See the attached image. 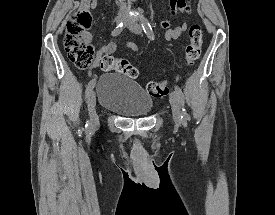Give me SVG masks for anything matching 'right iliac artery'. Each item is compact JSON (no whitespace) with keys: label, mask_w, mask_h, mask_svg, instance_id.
Masks as SVG:
<instances>
[{"label":"right iliac artery","mask_w":275,"mask_h":215,"mask_svg":"<svg viewBox=\"0 0 275 215\" xmlns=\"http://www.w3.org/2000/svg\"><path fill=\"white\" fill-rule=\"evenodd\" d=\"M124 28H125V23H124V22L119 23V24L116 26V28L112 31V36H117V35H119V34L122 32V30H123ZM94 86H95V79H92V80L88 83L87 88H86V98L89 97V95H90L92 89L94 88ZM85 128H86V129H89V128H90L89 123H86Z\"/></svg>","instance_id":"right-iliac-artery-1"}]
</instances>
